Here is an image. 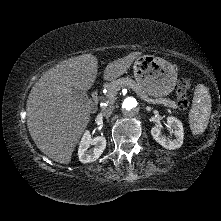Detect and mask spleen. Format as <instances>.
<instances>
[{
  "label": "spleen",
  "instance_id": "obj_1",
  "mask_svg": "<svg viewBox=\"0 0 221 221\" xmlns=\"http://www.w3.org/2000/svg\"><path fill=\"white\" fill-rule=\"evenodd\" d=\"M211 114V97L206 86L198 84L194 91L193 106L189 112L190 129L194 135L205 131Z\"/></svg>",
  "mask_w": 221,
  "mask_h": 221
}]
</instances>
